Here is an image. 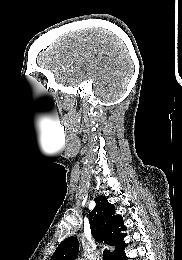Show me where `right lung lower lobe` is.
Segmentation results:
<instances>
[{
    "mask_svg": "<svg viewBox=\"0 0 182 260\" xmlns=\"http://www.w3.org/2000/svg\"><path fill=\"white\" fill-rule=\"evenodd\" d=\"M112 258L113 260H128V257H126L125 255L124 249L119 253H117L116 255H114Z\"/></svg>",
    "mask_w": 182,
    "mask_h": 260,
    "instance_id": "98d812e1",
    "label": "right lung lower lobe"
}]
</instances>
